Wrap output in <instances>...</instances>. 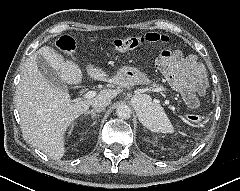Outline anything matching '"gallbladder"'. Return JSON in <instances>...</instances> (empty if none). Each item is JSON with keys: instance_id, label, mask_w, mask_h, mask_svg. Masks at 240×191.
<instances>
[{"instance_id": "1", "label": "gallbladder", "mask_w": 240, "mask_h": 191, "mask_svg": "<svg viewBox=\"0 0 240 191\" xmlns=\"http://www.w3.org/2000/svg\"><path fill=\"white\" fill-rule=\"evenodd\" d=\"M36 63L42 75L54 86L67 91V85L61 81L57 72L50 66V64L40 55L36 58Z\"/></svg>"}]
</instances>
